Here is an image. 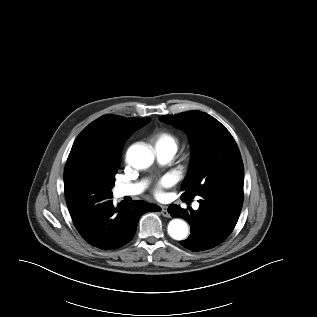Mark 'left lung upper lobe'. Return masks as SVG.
<instances>
[{"instance_id": "1", "label": "left lung upper lobe", "mask_w": 317, "mask_h": 317, "mask_svg": "<svg viewBox=\"0 0 317 317\" xmlns=\"http://www.w3.org/2000/svg\"><path fill=\"white\" fill-rule=\"evenodd\" d=\"M159 119L185 130L191 142L192 157L180 188L181 199H193L216 188L243 189L244 166L240 151L230 132L218 120L197 110Z\"/></svg>"}]
</instances>
